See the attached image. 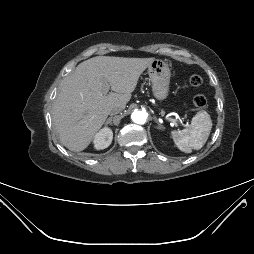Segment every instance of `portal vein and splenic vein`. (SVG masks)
I'll list each match as a JSON object with an SVG mask.
<instances>
[{"instance_id":"portal-vein-and-splenic-vein-1","label":"portal vein and splenic vein","mask_w":254,"mask_h":254,"mask_svg":"<svg viewBox=\"0 0 254 254\" xmlns=\"http://www.w3.org/2000/svg\"><path fill=\"white\" fill-rule=\"evenodd\" d=\"M109 88H110L109 85H106L105 88H104V92L107 93V92L109 91ZM166 119H169L168 116H166ZM170 120L173 121V122H176V121H177V120H175V119H170ZM179 122H180L182 125H184L180 119H179Z\"/></svg>"}]
</instances>
